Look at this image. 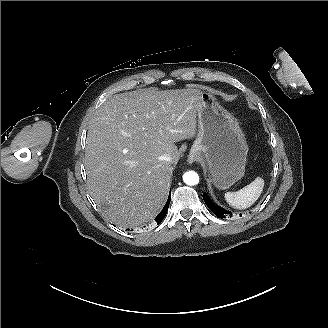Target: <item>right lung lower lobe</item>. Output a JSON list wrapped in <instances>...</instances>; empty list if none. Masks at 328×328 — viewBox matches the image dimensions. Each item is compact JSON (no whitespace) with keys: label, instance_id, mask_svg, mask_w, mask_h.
Masks as SVG:
<instances>
[{"label":"right lung lower lobe","instance_id":"1","mask_svg":"<svg viewBox=\"0 0 328 328\" xmlns=\"http://www.w3.org/2000/svg\"><path fill=\"white\" fill-rule=\"evenodd\" d=\"M170 198H171V193L168 197V200L166 202V205L164 206V208L162 209V211L160 212V214L155 218V222L159 225L162 220L164 219L167 211H168V207H169V204H170Z\"/></svg>","mask_w":328,"mask_h":328}]
</instances>
